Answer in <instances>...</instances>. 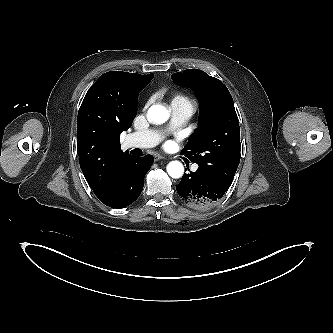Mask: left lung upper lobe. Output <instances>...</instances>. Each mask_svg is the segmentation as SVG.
Returning a JSON list of instances; mask_svg holds the SVG:
<instances>
[{"instance_id": "5c2ea615", "label": "left lung upper lobe", "mask_w": 333, "mask_h": 333, "mask_svg": "<svg viewBox=\"0 0 333 333\" xmlns=\"http://www.w3.org/2000/svg\"><path fill=\"white\" fill-rule=\"evenodd\" d=\"M172 79L187 84L200 102L199 129L182 154L214 180L229 188L240 161V128L233 99L217 78L198 69L174 73Z\"/></svg>"}]
</instances>
